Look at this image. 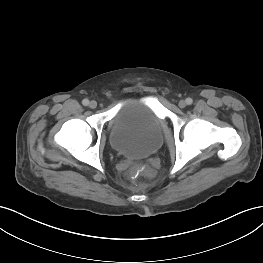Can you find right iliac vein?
Here are the masks:
<instances>
[{"instance_id": "63e3f726", "label": "right iliac vein", "mask_w": 263, "mask_h": 263, "mask_svg": "<svg viewBox=\"0 0 263 263\" xmlns=\"http://www.w3.org/2000/svg\"><path fill=\"white\" fill-rule=\"evenodd\" d=\"M89 107H90L91 109L96 108V107H97V102L94 101V100H92V101L89 103Z\"/></svg>"}]
</instances>
